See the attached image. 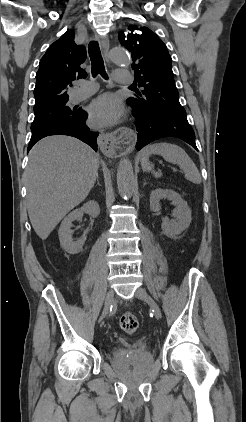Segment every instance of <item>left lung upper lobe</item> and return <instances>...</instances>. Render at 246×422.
I'll return each mask as SVG.
<instances>
[{"label": "left lung upper lobe", "instance_id": "left-lung-upper-lobe-1", "mask_svg": "<svg viewBox=\"0 0 246 422\" xmlns=\"http://www.w3.org/2000/svg\"><path fill=\"white\" fill-rule=\"evenodd\" d=\"M122 46L131 53L137 85L142 94L127 99L132 108L146 113L186 115L172 72V59L162 40L147 27L130 26L119 33Z\"/></svg>", "mask_w": 246, "mask_h": 422}]
</instances>
